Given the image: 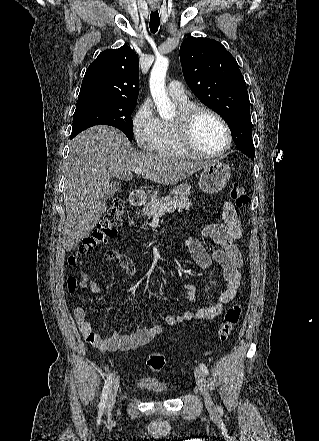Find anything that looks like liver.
Returning a JSON list of instances; mask_svg holds the SVG:
<instances>
[{
  "label": "liver",
  "mask_w": 319,
  "mask_h": 441,
  "mask_svg": "<svg viewBox=\"0 0 319 441\" xmlns=\"http://www.w3.org/2000/svg\"><path fill=\"white\" fill-rule=\"evenodd\" d=\"M69 146L64 187L67 217L63 228V246L67 252L74 250L103 216L113 177L131 180V172L141 168L146 180L171 185L207 164L136 151L120 130L106 125L78 134Z\"/></svg>",
  "instance_id": "1"
}]
</instances>
